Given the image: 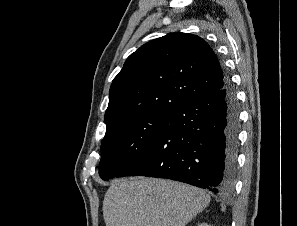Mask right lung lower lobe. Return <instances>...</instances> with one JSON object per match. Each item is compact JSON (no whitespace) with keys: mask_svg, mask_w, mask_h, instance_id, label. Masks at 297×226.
Wrapping results in <instances>:
<instances>
[{"mask_svg":"<svg viewBox=\"0 0 297 226\" xmlns=\"http://www.w3.org/2000/svg\"><path fill=\"white\" fill-rule=\"evenodd\" d=\"M239 106L227 76L223 88L191 98L116 177L151 176L215 193L231 191L237 170Z\"/></svg>","mask_w":297,"mask_h":226,"instance_id":"98d812e1","label":"right lung lower lobe"}]
</instances>
